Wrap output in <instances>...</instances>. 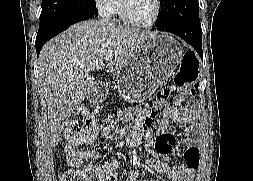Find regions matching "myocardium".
Masks as SVG:
<instances>
[{
  "instance_id": "obj_1",
  "label": "myocardium",
  "mask_w": 253,
  "mask_h": 181,
  "mask_svg": "<svg viewBox=\"0 0 253 181\" xmlns=\"http://www.w3.org/2000/svg\"><path fill=\"white\" fill-rule=\"evenodd\" d=\"M154 2H155V10L152 18L147 22H139L132 19L131 16L129 15L125 0H120V13L123 21L130 26L139 28H149L154 26L159 19L162 8L161 0H154Z\"/></svg>"
}]
</instances>
